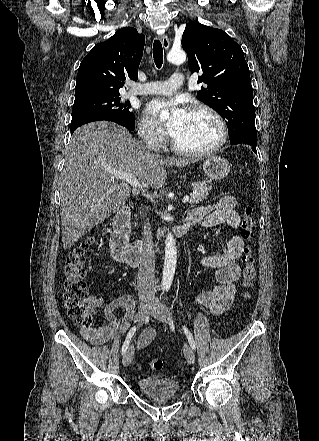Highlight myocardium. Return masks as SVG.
Wrapping results in <instances>:
<instances>
[{"instance_id": "1", "label": "myocardium", "mask_w": 319, "mask_h": 441, "mask_svg": "<svg viewBox=\"0 0 319 441\" xmlns=\"http://www.w3.org/2000/svg\"><path fill=\"white\" fill-rule=\"evenodd\" d=\"M197 111H203L208 113L217 122L220 131L219 139L213 146L209 148L203 150H188L180 147L172 136L170 139L171 147L176 153L180 155L191 156V157L208 156L218 151L227 141L228 128L224 118L214 108L206 104L196 103V104H192L188 108V112H197Z\"/></svg>"}]
</instances>
